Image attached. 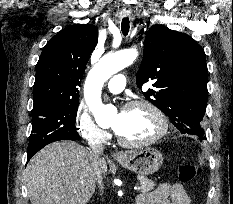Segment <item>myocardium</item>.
Masks as SVG:
<instances>
[{
	"mask_svg": "<svg viewBox=\"0 0 233 204\" xmlns=\"http://www.w3.org/2000/svg\"><path fill=\"white\" fill-rule=\"evenodd\" d=\"M139 106H143L149 109L159 121L160 127H159L158 132L154 134L152 137L146 140H141V141H130V140L124 139L119 134L115 133L118 142L126 147L141 148V147H147V146L153 145L157 143L159 140H161L167 134L169 130V121H168L167 116L155 103H153L150 100H147L144 98L133 99L124 105V110L139 107Z\"/></svg>",
	"mask_w": 233,
	"mask_h": 204,
	"instance_id": "myocardium-1",
	"label": "myocardium"
}]
</instances>
